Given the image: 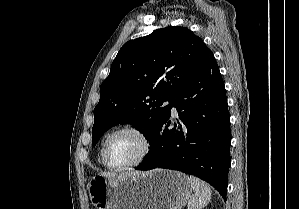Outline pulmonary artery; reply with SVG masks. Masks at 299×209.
Wrapping results in <instances>:
<instances>
[{"label": "pulmonary artery", "instance_id": "pulmonary-artery-1", "mask_svg": "<svg viewBox=\"0 0 299 209\" xmlns=\"http://www.w3.org/2000/svg\"><path fill=\"white\" fill-rule=\"evenodd\" d=\"M172 113H173L174 116L177 115V110H176V108L174 106L172 107Z\"/></svg>", "mask_w": 299, "mask_h": 209}]
</instances>
